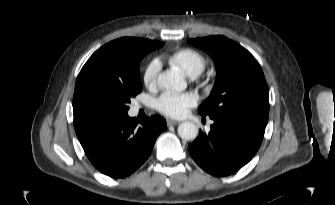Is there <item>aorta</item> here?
Returning <instances> with one entry per match:
<instances>
[{
    "instance_id": "762f6f07",
    "label": "aorta",
    "mask_w": 335,
    "mask_h": 205,
    "mask_svg": "<svg viewBox=\"0 0 335 205\" xmlns=\"http://www.w3.org/2000/svg\"><path fill=\"white\" fill-rule=\"evenodd\" d=\"M158 85L169 90L182 91L186 88V81L176 71H165L158 76ZM178 134L184 140H194L198 135V128L193 122H183L178 126Z\"/></svg>"
}]
</instances>
